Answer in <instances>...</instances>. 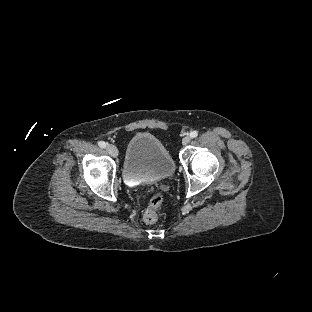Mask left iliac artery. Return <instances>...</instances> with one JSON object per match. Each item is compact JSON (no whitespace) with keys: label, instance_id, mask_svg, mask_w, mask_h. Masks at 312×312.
<instances>
[{"label":"left iliac artery","instance_id":"1","mask_svg":"<svg viewBox=\"0 0 312 312\" xmlns=\"http://www.w3.org/2000/svg\"><path fill=\"white\" fill-rule=\"evenodd\" d=\"M198 136V132L197 131H192V132H190V137L191 138H195V137H197Z\"/></svg>","mask_w":312,"mask_h":312}]
</instances>
